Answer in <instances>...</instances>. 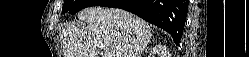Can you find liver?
Wrapping results in <instances>:
<instances>
[{"instance_id":"obj_1","label":"liver","mask_w":249,"mask_h":57,"mask_svg":"<svg viewBox=\"0 0 249 57\" xmlns=\"http://www.w3.org/2000/svg\"><path fill=\"white\" fill-rule=\"evenodd\" d=\"M78 19L87 27L65 26L64 57H141L151 41L150 25L123 9L89 7Z\"/></svg>"}]
</instances>
